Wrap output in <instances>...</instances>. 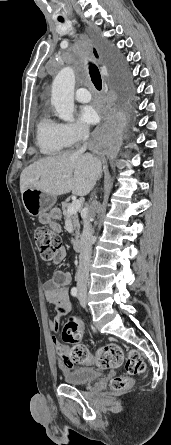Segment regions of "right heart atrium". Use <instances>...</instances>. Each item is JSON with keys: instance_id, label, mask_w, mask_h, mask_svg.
I'll return each mask as SVG.
<instances>
[{"instance_id": "1", "label": "right heart atrium", "mask_w": 171, "mask_h": 445, "mask_svg": "<svg viewBox=\"0 0 171 445\" xmlns=\"http://www.w3.org/2000/svg\"><path fill=\"white\" fill-rule=\"evenodd\" d=\"M60 129L63 138L68 145L76 144L89 135L88 128L76 122L61 123Z\"/></svg>"}]
</instances>
